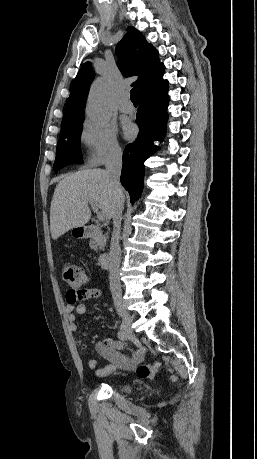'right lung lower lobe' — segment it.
I'll list each match as a JSON object with an SVG mask.
<instances>
[{
	"label": "right lung lower lobe",
	"instance_id": "obj_1",
	"mask_svg": "<svg viewBox=\"0 0 257 459\" xmlns=\"http://www.w3.org/2000/svg\"><path fill=\"white\" fill-rule=\"evenodd\" d=\"M167 92L168 83L163 76L140 92V106L136 115L140 131L136 141L128 144L124 150L121 173V183L129 192L131 203L141 194L144 162L157 150L153 141L161 140L165 134L169 101Z\"/></svg>",
	"mask_w": 257,
	"mask_h": 459
}]
</instances>
